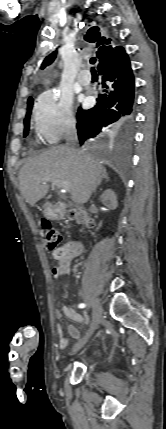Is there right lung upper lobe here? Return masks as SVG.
Wrapping results in <instances>:
<instances>
[{
  "label": "right lung upper lobe",
  "mask_w": 166,
  "mask_h": 429,
  "mask_svg": "<svg viewBox=\"0 0 166 429\" xmlns=\"http://www.w3.org/2000/svg\"><path fill=\"white\" fill-rule=\"evenodd\" d=\"M85 40L89 42L98 41V50L96 52V55L99 62L104 59L108 60L111 57L121 56V54L124 53V50L121 46H116L110 38L106 39L105 37H101V34L98 32V30H94V28H91L88 31L87 35L85 36ZM56 54L57 52L54 51L53 53L48 55L44 59L41 68L44 69L46 66L50 65L56 58ZM31 99L32 98L29 97L28 101H30Z\"/></svg>",
  "instance_id": "cb5924a9"
}]
</instances>
